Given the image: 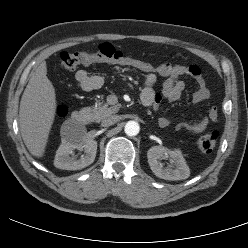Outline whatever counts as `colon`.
<instances>
[{
    "label": "colon",
    "mask_w": 248,
    "mask_h": 248,
    "mask_svg": "<svg viewBox=\"0 0 248 248\" xmlns=\"http://www.w3.org/2000/svg\"><path fill=\"white\" fill-rule=\"evenodd\" d=\"M94 63H113L136 69L142 73L153 72L157 66L145 60L125 55L117 50L110 43H102L94 52H68L63 51L60 54V67L64 71H73L79 66H87ZM67 110L60 106L57 109V115L65 116ZM218 133L216 131L205 133L197 140L199 149L205 153H210L217 142Z\"/></svg>",
    "instance_id": "5ec220e1"
}]
</instances>
